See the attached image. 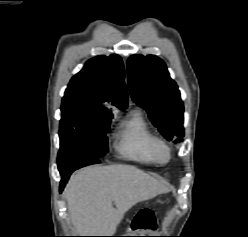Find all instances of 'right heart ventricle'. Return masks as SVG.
Instances as JSON below:
<instances>
[{
    "mask_svg": "<svg viewBox=\"0 0 248 237\" xmlns=\"http://www.w3.org/2000/svg\"><path fill=\"white\" fill-rule=\"evenodd\" d=\"M154 134L140 111L134 110L116 127L114 148L122 159L140 164H153L149 144Z\"/></svg>",
    "mask_w": 248,
    "mask_h": 237,
    "instance_id": "1",
    "label": "right heart ventricle"
}]
</instances>
